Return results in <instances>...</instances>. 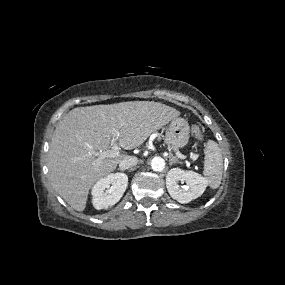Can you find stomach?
Wrapping results in <instances>:
<instances>
[{"mask_svg": "<svg viewBox=\"0 0 285 285\" xmlns=\"http://www.w3.org/2000/svg\"><path fill=\"white\" fill-rule=\"evenodd\" d=\"M189 129L185 119L180 117L172 119L165 133V143L173 149L184 147L190 138Z\"/></svg>", "mask_w": 285, "mask_h": 285, "instance_id": "0dacf381", "label": "stomach"}]
</instances>
